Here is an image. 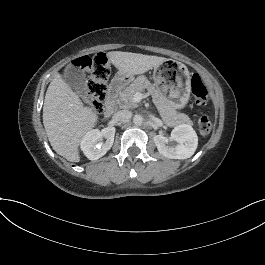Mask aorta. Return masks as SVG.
I'll return each instance as SVG.
<instances>
[{
  "label": "aorta",
  "mask_w": 265,
  "mask_h": 265,
  "mask_svg": "<svg viewBox=\"0 0 265 265\" xmlns=\"http://www.w3.org/2000/svg\"><path fill=\"white\" fill-rule=\"evenodd\" d=\"M133 123L136 125V126H140L142 125L143 123V117L139 114H136L134 117H133Z\"/></svg>",
  "instance_id": "obj_1"
}]
</instances>
